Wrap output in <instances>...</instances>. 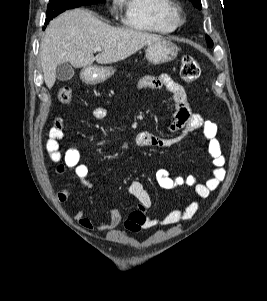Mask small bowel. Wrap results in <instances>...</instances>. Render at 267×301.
<instances>
[{
    "instance_id": "c3829d8e",
    "label": "small bowel",
    "mask_w": 267,
    "mask_h": 301,
    "mask_svg": "<svg viewBox=\"0 0 267 301\" xmlns=\"http://www.w3.org/2000/svg\"><path fill=\"white\" fill-rule=\"evenodd\" d=\"M138 89H165L167 90L175 103V116L170 125V130L175 133L174 136L161 138L154 136L149 132H140L135 139V143L141 148H166L171 147L186 138L191 132L202 129L204 138L207 142L208 153L212 159V176L205 182L200 183L194 176L172 175L166 169H159L155 178L158 185L166 190H174L183 186H193L197 199L189 205L170 211L161 218H151L145 215L151 207L152 201L144 186L139 181H133L130 185V193L137 199L138 207L130 214L125 221L124 226L128 231L137 232L141 229H149L158 224L171 225L178 222L191 219L200 207V199L207 198L209 194L215 191L226 176L225 157L222 154L220 143L217 139V125L212 121L205 120L199 113L190 109L187 94L178 82L167 74L159 76H144L137 84ZM95 117L102 119L106 115L103 107L94 109ZM64 123L61 119H56L51 127L46 142V149L53 162L57 163L56 172L64 174L67 169L74 170L76 177L87 188L94 190V185L90 180V172L85 164L80 162V151L77 146L68 148L64 153L59 149V143L64 137ZM59 202H65L69 198L67 189H60L56 192ZM78 224L86 229L93 230L94 223L84 213L76 209L72 215ZM120 213L112 209L108 217L98 223V227L107 231L115 230L121 223Z\"/></svg>"
}]
</instances>
